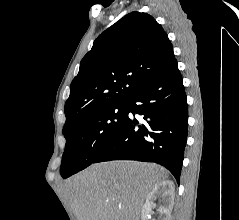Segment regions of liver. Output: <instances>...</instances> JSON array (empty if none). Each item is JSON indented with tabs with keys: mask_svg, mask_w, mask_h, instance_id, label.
<instances>
[{
	"mask_svg": "<svg viewBox=\"0 0 239 220\" xmlns=\"http://www.w3.org/2000/svg\"><path fill=\"white\" fill-rule=\"evenodd\" d=\"M167 178L152 163L102 162L68 179L64 193L77 220H139L145 198Z\"/></svg>",
	"mask_w": 239,
	"mask_h": 220,
	"instance_id": "6515ba94",
	"label": "liver"
}]
</instances>
